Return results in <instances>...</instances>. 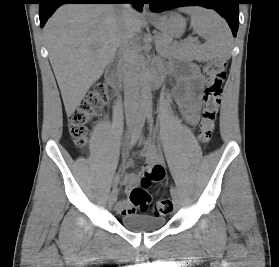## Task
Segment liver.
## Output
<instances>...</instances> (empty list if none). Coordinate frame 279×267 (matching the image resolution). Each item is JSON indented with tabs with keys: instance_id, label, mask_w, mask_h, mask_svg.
<instances>
[{
	"instance_id": "liver-1",
	"label": "liver",
	"mask_w": 279,
	"mask_h": 267,
	"mask_svg": "<svg viewBox=\"0 0 279 267\" xmlns=\"http://www.w3.org/2000/svg\"><path fill=\"white\" fill-rule=\"evenodd\" d=\"M131 20L134 32H139L142 17L135 12ZM120 21L119 5L67 4L46 23L49 60L68 117L115 56Z\"/></svg>"
}]
</instances>
